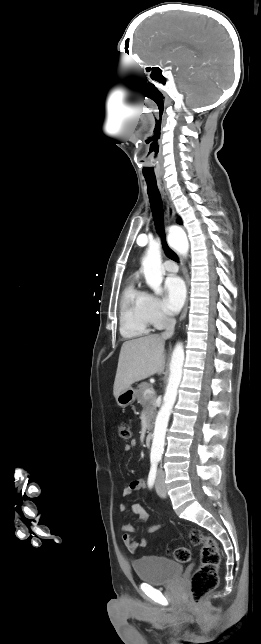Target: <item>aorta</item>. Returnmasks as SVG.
<instances>
[{"label": "aorta", "instance_id": "762f6f07", "mask_svg": "<svg viewBox=\"0 0 261 644\" xmlns=\"http://www.w3.org/2000/svg\"><path fill=\"white\" fill-rule=\"evenodd\" d=\"M168 240L172 245L177 246L181 251L186 252L187 239L183 232L177 233L175 229H170ZM142 266L147 285L156 294H161L164 268L162 266L159 242L150 241L146 255L142 261ZM183 363L184 348L183 345L179 343L176 345L172 353L169 381L163 398V404L155 421L150 453L151 458H161L163 454L168 421L176 401L177 390L182 378Z\"/></svg>", "mask_w": 261, "mask_h": 644}]
</instances>
